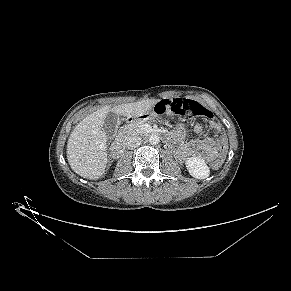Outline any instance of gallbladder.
I'll use <instances>...</instances> for the list:
<instances>
[{"label": "gallbladder", "mask_w": 291, "mask_h": 291, "mask_svg": "<svg viewBox=\"0 0 291 291\" xmlns=\"http://www.w3.org/2000/svg\"><path fill=\"white\" fill-rule=\"evenodd\" d=\"M119 123V115L110 111L103 119V130L109 138L115 136Z\"/></svg>", "instance_id": "obj_1"}]
</instances>
